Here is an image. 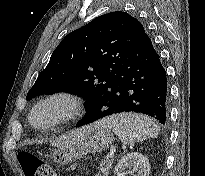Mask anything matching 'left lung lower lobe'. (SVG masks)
Instances as JSON below:
<instances>
[{"instance_id":"left-lung-lower-lobe-1","label":"left lung lower lobe","mask_w":205,"mask_h":176,"mask_svg":"<svg viewBox=\"0 0 205 176\" xmlns=\"http://www.w3.org/2000/svg\"><path fill=\"white\" fill-rule=\"evenodd\" d=\"M167 77L145 33L122 64L116 79L77 123V127L121 112H138L167 122Z\"/></svg>"}]
</instances>
